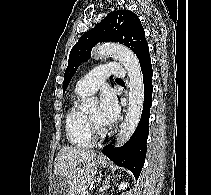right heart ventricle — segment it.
<instances>
[{
  "mask_svg": "<svg viewBox=\"0 0 211 195\" xmlns=\"http://www.w3.org/2000/svg\"><path fill=\"white\" fill-rule=\"evenodd\" d=\"M76 95L83 96L78 93ZM65 129L73 145L80 148H89L93 145L94 138L90 133L87 115L75 103L71 105L67 112Z\"/></svg>",
  "mask_w": 211,
  "mask_h": 195,
  "instance_id": "right-heart-ventricle-1",
  "label": "right heart ventricle"
}]
</instances>
